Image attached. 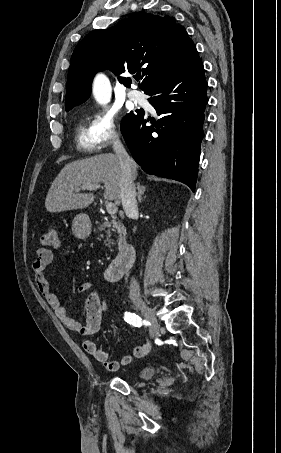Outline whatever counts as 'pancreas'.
Returning <instances> with one entry per match:
<instances>
[{
    "label": "pancreas",
    "mask_w": 281,
    "mask_h": 453,
    "mask_svg": "<svg viewBox=\"0 0 281 453\" xmlns=\"http://www.w3.org/2000/svg\"><path fill=\"white\" fill-rule=\"evenodd\" d=\"M100 231L102 229H107L105 233H107L108 237H111V231H118L119 239H125L126 237V231L124 229V224H121L119 220H116V218H111V220H105V222H102L99 227Z\"/></svg>",
    "instance_id": "pancreas-1"
}]
</instances>
